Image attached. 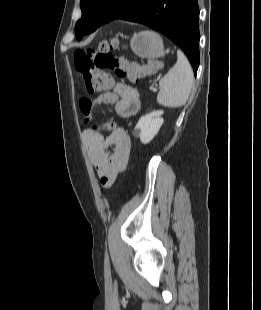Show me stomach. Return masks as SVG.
<instances>
[{
	"label": "stomach",
	"mask_w": 261,
	"mask_h": 310,
	"mask_svg": "<svg viewBox=\"0 0 261 310\" xmlns=\"http://www.w3.org/2000/svg\"><path fill=\"white\" fill-rule=\"evenodd\" d=\"M130 47L141 58L154 59L168 53V50L164 49L161 37L152 31L135 33L130 40Z\"/></svg>",
	"instance_id": "0dacf381"
}]
</instances>
